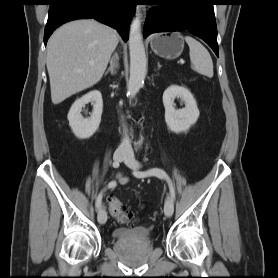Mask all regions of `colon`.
Masks as SVG:
<instances>
[{"label": "colon", "instance_id": "1", "mask_svg": "<svg viewBox=\"0 0 278 278\" xmlns=\"http://www.w3.org/2000/svg\"><path fill=\"white\" fill-rule=\"evenodd\" d=\"M109 209L111 215L121 223L129 225L136 220L135 214L126 209L123 203L117 198L112 197L109 199Z\"/></svg>", "mask_w": 278, "mask_h": 278}]
</instances>
